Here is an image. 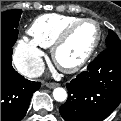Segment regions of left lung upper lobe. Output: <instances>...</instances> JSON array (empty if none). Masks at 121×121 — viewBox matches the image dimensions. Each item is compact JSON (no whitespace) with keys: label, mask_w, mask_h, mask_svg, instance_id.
Segmentation results:
<instances>
[{"label":"left lung upper lobe","mask_w":121,"mask_h":121,"mask_svg":"<svg viewBox=\"0 0 121 121\" xmlns=\"http://www.w3.org/2000/svg\"><path fill=\"white\" fill-rule=\"evenodd\" d=\"M106 46L107 48H121V41L116 35V33L112 30H109L108 36L106 38Z\"/></svg>","instance_id":"left-lung-upper-lobe-1"}]
</instances>
